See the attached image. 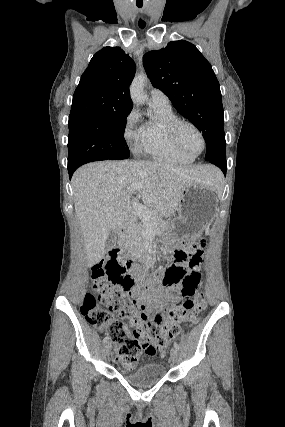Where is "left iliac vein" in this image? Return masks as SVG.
<instances>
[{"label": "left iliac vein", "instance_id": "4c4485c4", "mask_svg": "<svg viewBox=\"0 0 285 427\" xmlns=\"http://www.w3.org/2000/svg\"><path fill=\"white\" fill-rule=\"evenodd\" d=\"M170 357H171V360H172L173 362H177V361H178V358H179V351H178L175 347H173V348L171 349Z\"/></svg>", "mask_w": 285, "mask_h": 427}]
</instances>
